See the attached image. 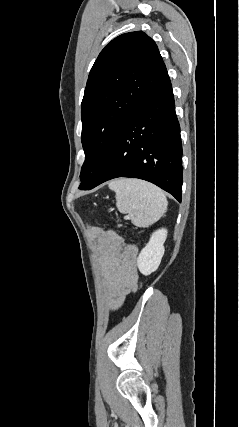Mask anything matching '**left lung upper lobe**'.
<instances>
[{"label": "left lung upper lobe", "instance_id": "obj_1", "mask_svg": "<svg viewBox=\"0 0 239 427\" xmlns=\"http://www.w3.org/2000/svg\"><path fill=\"white\" fill-rule=\"evenodd\" d=\"M167 77L157 45L144 32L122 34L104 47L81 104L85 162L79 189L92 183L123 125Z\"/></svg>", "mask_w": 239, "mask_h": 427}]
</instances>
